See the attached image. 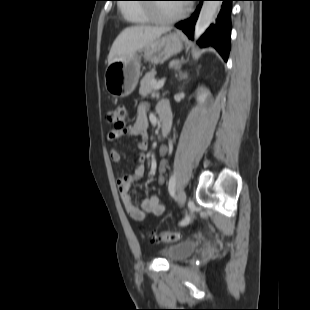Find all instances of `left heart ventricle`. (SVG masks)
Returning <instances> with one entry per match:
<instances>
[{"mask_svg": "<svg viewBox=\"0 0 310 310\" xmlns=\"http://www.w3.org/2000/svg\"><path fill=\"white\" fill-rule=\"evenodd\" d=\"M183 9L180 5L177 4H161L157 7L159 14L161 15H170L174 14Z\"/></svg>", "mask_w": 310, "mask_h": 310, "instance_id": "obj_1", "label": "left heart ventricle"}]
</instances>
